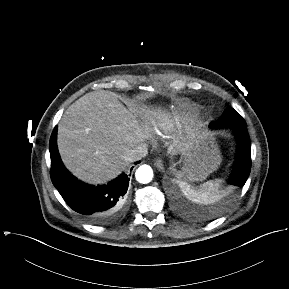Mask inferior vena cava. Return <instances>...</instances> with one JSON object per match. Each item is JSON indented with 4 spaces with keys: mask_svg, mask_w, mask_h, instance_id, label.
Masks as SVG:
<instances>
[{
    "mask_svg": "<svg viewBox=\"0 0 289 289\" xmlns=\"http://www.w3.org/2000/svg\"><path fill=\"white\" fill-rule=\"evenodd\" d=\"M148 154V148L145 144L139 145L132 149L126 156L125 160L129 162H134L141 160Z\"/></svg>",
    "mask_w": 289,
    "mask_h": 289,
    "instance_id": "inferior-vena-cava-1",
    "label": "inferior vena cava"
}]
</instances>
